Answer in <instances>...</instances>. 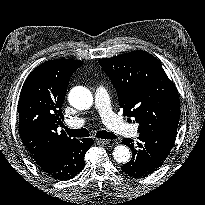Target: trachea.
<instances>
[{
  "label": "trachea",
  "mask_w": 205,
  "mask_h": 205,
  "mask_svg": "<svg viewBox=\"0 0 205 205\" xmlns=\"http://www.w3.org/2000/svg\"><path fill=\"white\" fill-rule=\"evenodd\" d=\"M65 131L68 133L70 137H89L90 133L86 128L82 129H69L66 126H64ZM97 138L101 139H116L117 136L114 135L113 133L107 132V131H98L96 133Z\"/></svg>",
  "instance_id": "trachea-1"
}]
</instances>
